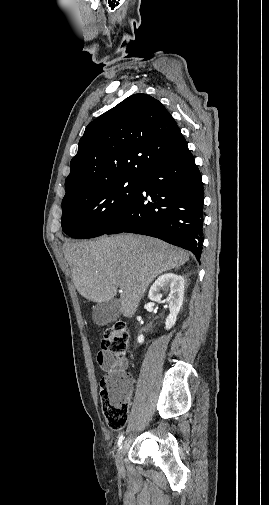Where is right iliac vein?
I'll use <instances>...</instances> for the list:
<instances>
[{"label": "right iliac vein", "mask_w": 269, "mask_h": 505, "mask_svg": "<svg viewBox=\"0 0 269 505\" xmlns=\"http://www.w3.org/2000/svg\"><path fill=\"white\" fill-rule=\"evenodd\" d=\"M125 452H126V445L125 444H122L120 446V448L118 449V452L116 454V466L117 468L120 470V471H123L124 470V466H123V457L125 455Z\"/></svg>", "instance_id": "obj_1"}]
</instances>
